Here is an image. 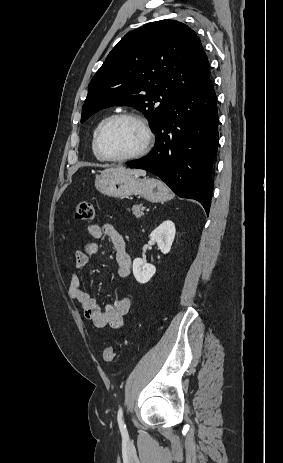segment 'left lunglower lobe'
I'll list each match as a JSON object with an SVG mask.
<instances>
[{"label": "left lung lower lobe", "mask_w": 283, "mask_h": 463, "mask_svg": "<svg viewBox=\"0 0 283 463\" xmlns=\"http://www.w3.org/2000/svg\"><path fill=\"white\" fill-rule=\"evenodd\" d=\"M155 132L154 152L128 167L152 172L179 197L199 201L209 214L218 147L216 94L210 77L181 97Z\"/></svg>", "instance_id": "1"}]
</instances>
